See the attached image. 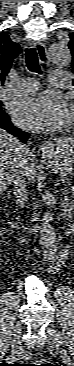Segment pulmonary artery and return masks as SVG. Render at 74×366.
<instances>
[{"label":"pulmonary artery","instance_id":"pulmonary-artery-1","mask_svg":"<svg viewBox=\"0 0 74 366\" xmlns=\"http://www.w3.org/2000/svg\"><path fill=\"white\" fill-rule=\"evenodd\" d=\"M51 85L57 88H63L70 79V73L66 70L59 69L50 73ZM38 89V82L33 79H17L9 86V91L13 94H29Z\"/></svg>","mask_w":74,"mask_h":366}]
</instances>
